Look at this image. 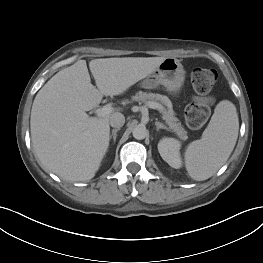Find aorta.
I'll use <instances>...</instances> for the list:
<instances>
[{
	"label": "aorta",
	"mask_w": 263,
	"mask_h": 263,
	"mask_svg": "<svg viewBox=\"0 0 263 263\" xmlns=\"http://www.w3.org/2000/svg\"><path fill=\"white\" fill-rule=\"evenodd\" d=\"M147 133L146 127L142 125H137L132 131L133 137L137 140H143Z\"/></svg>",
	"instance_id": "1"
}]
</instances>
